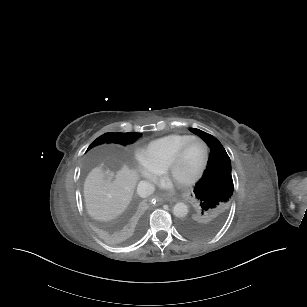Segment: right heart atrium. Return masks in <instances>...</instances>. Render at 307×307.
<instances>
[{
  "instance_id": "right-heart-atrium-1",
  "label": "right heart atrium",
  "mask_w": 307,
  "mask_h": 307,
  "mask_svg": "<svg viewBox=\"0 0 307 307\" xmlns=\"http://www.w3.org/2000/svg\"><path fill=\"white\" fill-rule=\"evenodd\" d=\"M138 170L142 176H145L153 180H156L160 175V172L158 169L148 165L147 163H145L144 161L140 159H139Z\"/></svg>"
}]
</instances>
